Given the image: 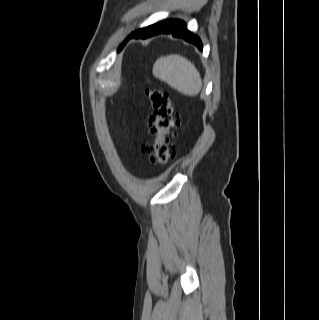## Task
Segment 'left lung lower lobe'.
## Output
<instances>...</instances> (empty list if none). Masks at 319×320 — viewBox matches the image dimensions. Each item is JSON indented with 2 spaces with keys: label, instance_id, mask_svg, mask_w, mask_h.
Returning <instances> with one entry per match:
<instances>
[{
  "label": "left lung lower lobe",
  "instance_id": "left-lung-lower-lobe-1",
  "mask_svg": "<svg viewBox=\"0 0 319 320\" xmlns=\"http://www.w3.org/2000/svg\"><path fill=\"white\" fill-rule=\"evenodd\" d=\"M160 33H171L174 37L183 38L185 41L193 43L199 50H202V43L200 39L186 29V24L180 20H167L146 28L139 29L134 33L130 34L124 41L123 45L118 51L127 43L131 38H148Z\"/></svg>",
  "mask_w": 319,
  "mask_h": 320
}]
</instances>
